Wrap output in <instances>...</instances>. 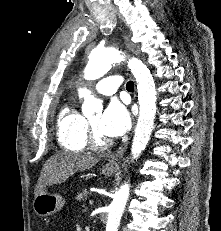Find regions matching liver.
<instances>
[{
	"instance_id": "6515ba94",
	"label": "liver",
	"mask_w": 221,
	"mask_h": 231,
	"mask_svg": "<svg viewBox=\"0 0 221 231\" xmlns=\"http://www.w3.org/2000/svg\"><path fill=\"white\" fill-rule=\"evenodd\" d=\"M98 162L97 157L69 152H60L50 157L42 168L34 195L37 196L43 192L46 186L65 182L74 173L89 169Z\"/></svg>"
}]
</instances>
